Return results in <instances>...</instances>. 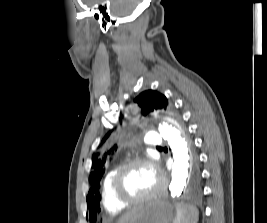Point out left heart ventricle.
Instances as JSON below:
<instances>
[{"label":"left heart ventricle","instance_id":"1","mask_svg":"<svg viewBox=\"0 0 267 223\" xmlns=\"http://www.w3.org/2000/svg\"><path fill=\"white\" fill-rule=\"evenodd\" d=\"M158 184V177L146 165L129 170L122 182V191L128 198H139L150 193Z\"/></svg>","mask_w":267,"mask_h":223}]
</instances>
